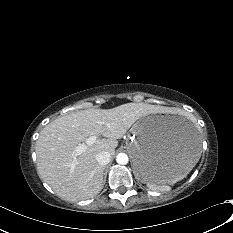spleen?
<instances>
[{
  "label": "spleen",
  "mask_w": 233,
  "mask_h": 233,
  "mask_svg": "<svg viewBox=\"0 0 233 233\" xmlns=\"http://www.w3.org/2000/svg\"><path fill=\"white\" fill-rule=\"evenodd\" d=\"M174 181H170L167 183H149L148 186L151 189L165 190L168 188V184H173Z\"/></svg>",
  "instance_id": "3e777b00"
}]
</instances>
